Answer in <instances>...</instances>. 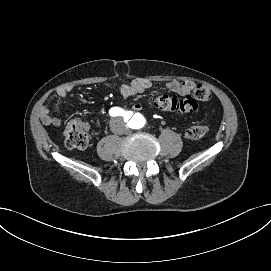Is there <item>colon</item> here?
<instances>
[{
  "mask_svg": "<svg viewBox=\"0 0 271 271\" xmlns=\"http://www.w3.org/2000/svg\"><path fill=\"white\" fill-rule=\"evenodd\" d=\"M212 98L211 91L203 86L197 85L191 95L176 97L171 95H159L152 101L153 105L163 111L169 112H194L198 107V101H209ZM208 127L205 125H195L186 132V137L190 140H199L205 136ZM65 145L70 149L84 150L91 145V138L86 125L78 120H71L64 134Z\"/></svg>",
  "mask_w": 271,
  "mask_h": 271,
  "instance_id": "obj_1",
  "label": "colon"
}]
</instances>
